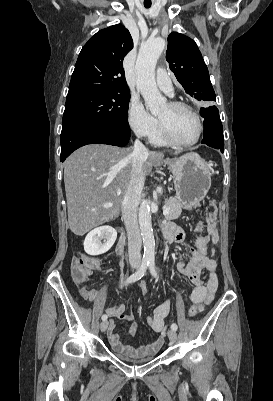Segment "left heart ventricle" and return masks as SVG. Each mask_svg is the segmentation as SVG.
Here are the masks:
<instances>
[{
  "label": "left heart ventricle",
  "instance_id": "1",
  "mask_svg": "<svg viewBox=\"0 0 273 401\" xmlns=\"http://www.w3.org/2000/svg\"><path fill=\"white\" fill-rule=\"evenodd\" d=\"M158 117L180 141L189 142L198 135L199 125L196 118L184 109L167 104Z\"/></svg>",
  "mask_w": 273,
  "mask_h": 401
}]
</instances>
